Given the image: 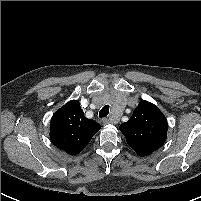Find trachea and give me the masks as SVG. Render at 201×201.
I'll use <instances>...</instances> for the list:
<instances>
[{"instance_id":"1","label":"trachea","mask_w":201,"mask_h":201,"mask_svg":"<svg viewBox=\"0 0 201 201\" xmlns=\"http://www.w3.org/2000/svg\"><path fill=\"white\" fill-rule=\"evenodd\" d=\"M109 114V105H105L99 112V117L103 118V117H107V115Z\"/></svg>"}]
</instances>
